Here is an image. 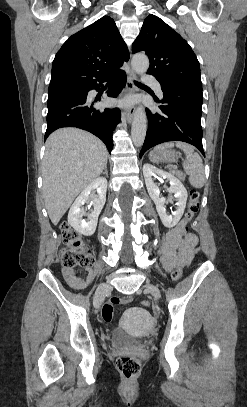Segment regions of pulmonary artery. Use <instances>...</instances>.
Listing matches in <instances>:
<instances>
[{
    "label": "pulmonary artery",
    "instance_id": "obj_1",
    "mask_svg": "<svg viewBox=\"0 0 247 407\" xmlns=\"http://www.w3.org/2000/svg\"><path fill=\"white\" fill-rule=\"evenodd\" d=\"M142 80H143L145 83H148V84L152 85V87L154 88V90L156 91V93H157L159 96H162V95H163V92H162V90H161L160 83L157 81V79H156L155 77H153V76H151V75L144 74V75L142 76Z\"/></svg>",
    "mask_w": 247,
    "mask_h": 407
}]
</instances>
